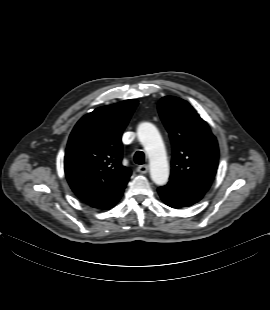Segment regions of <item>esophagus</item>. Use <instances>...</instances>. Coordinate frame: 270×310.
Masks as SVG:
<instances>
[{
  "label": "esophagus",
  "instance_id": "34e87169",
  "mask_svg": "<svg viewBox=\"0 0 270 310\" xmlns=\"http://www.w3.org/2000/svg\"><path fill=\"white\" fill-rule=\"evenodd\" d=\"M137 171L141 174H146L149 172V166L148 165H141L137 168Z\"/></svg>",
  "mask_w": 270,
  "mask_h": 310
}]
</instances>
